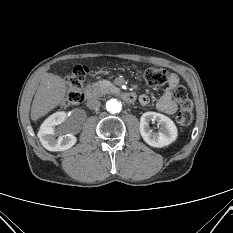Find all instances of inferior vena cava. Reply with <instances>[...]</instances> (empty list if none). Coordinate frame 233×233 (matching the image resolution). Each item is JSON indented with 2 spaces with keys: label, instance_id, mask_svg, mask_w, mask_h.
<instances>
[{
  "label": "inferior vena cava",
  "instance_id": "1",
  "mask_svg": "<svg viewBox=\"0 0 233 233\" xmlns=\"http://www.w3.org/2000/svg\"><path fill=\"white\" fill-rule=\"evenodd\" d=\"M86 105L89 109L94 110V109H98L101 103L97 98H91L87 101Z\"/></svg>",
  "mask_w": 233,
  "mask_h": 233
}]
</instances>
